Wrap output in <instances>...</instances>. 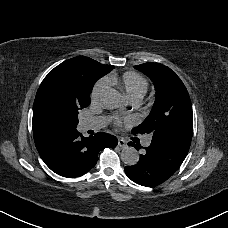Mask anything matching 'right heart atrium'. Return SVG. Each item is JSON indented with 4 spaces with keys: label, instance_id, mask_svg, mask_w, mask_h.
I'll return each instance as SVG.
<instances>
[{
    "label": "right heart atrium",
    "instance_id": "right-heart-atrium-1",
    "mask_svg": "<svg viewBox=\"0 0 228 228\" xmlns=\"http://www.w3.org/2000/svg\"><path fill=\"white\" fill-rule=\"evenodd\" d=\"M107 93L104 84L97 85L92 93V100L97 102L104 99L105 94Z\"/></svg>",
    "mask_w": 228,
    "mask_h": 228
}]
</instances>
